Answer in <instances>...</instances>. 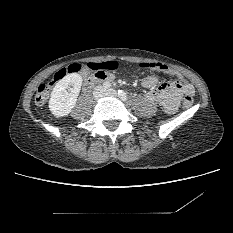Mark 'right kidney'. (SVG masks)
Listing matches in <instances>:
<instances>
[{
  "label": "right kidney",
  "mask_w": 233,
  "mask_h": 233,
  "mask_svg": "<svg viewBox=\"0 0 233 233\" xmlns=\"http://www.w3.org/2000/svg\"><path fill=\"white\" fill-rule=\"evenodd\" d=\"M82 77L77 73L65 75L53 88L49 110L56 117L67 116L74 108L82 86Z\"/></svg>",
  "instance_id": "obj_1"
}]
</instances>
